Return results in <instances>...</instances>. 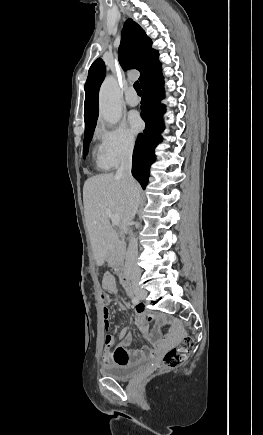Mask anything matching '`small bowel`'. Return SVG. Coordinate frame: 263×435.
I'll list each match as a JSON object with an SVG mask.
<instances>
[{"label":"small bowel","mask_w":263,"mask_h":435,"mask_svg":"<svg viewBox=\"0 0 263 435\" xmlns=\"http://www.w3.org/2000/svg\"><path fill=\"white\" fill-rule=\"evenodd\" d=\"M103 288L111 295L116 293V281L112 274L106 273L102 280ZM111 299L106 295V299L103 301L105 307L103 308V319L104 327L106 330L110 328V312L106 305L110 303ZM135 319L139 325H146L148 322L156 320L163 321L164 318L156 313L147 312L142 305H137L135 307ZM138 336L144 338L145 340L155 344V349H151L147 346L142 347L137 350H129L127 347L132 340V335L128 332L126 328H122L119 331L120 343L115 348V350H103V364L105 366L113 364H129L133 362L140 361L146 357H157L161 352L167 347L175 344L179 338V334L172 332L167 336L161 337L159 332L154 330L149 334H137Z\"/></svg>","instance_id":"1"}]
</instances>
